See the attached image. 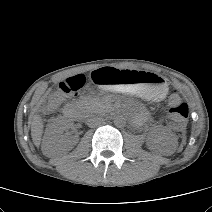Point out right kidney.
I'll list each match as a JSON object with an SVG mask.
<instances>
[{
  "instance_id": "1",
  "label": "right kidney",
  "mask_w": 212,
  "mask_h": 212,
  "mask_svg": "<svg viewBox=\"0 0 212 212\" xmlns=\"http://www.w3.org/2000/svg\"><path fill=\"white\" fill-rule=\"evenodd\" d=\"M63 128L61 125H54L52 130L46 132L42 142V152L44 155L52 157L67 153L76 145L78 142L76 137H60Z\"/></svg>"
}]
</instances>
